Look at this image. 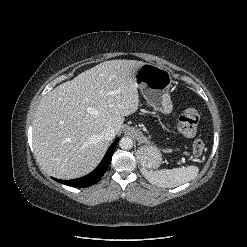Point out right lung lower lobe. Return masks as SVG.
<instances>
[{"label":"right lung lower lobe","instance_id":"right-lung-lower-lobe-1","mask_svg":"<svg viewBox=\"0 0 247 247\" xmlns=\"http://www.w3.org/2000/svg\"><path fill=\"white\" fill-rule=\"evenodd\" d=\"M118 140L119 139L117 138L112 143V145L109 147L108 151L106 152L100 164L96 167L95 170H93L88 175L72 180H60V179H54V180L73 187H88L98 183L111 163V158L115 151Z\"/></svg>","mask_w":247,"mask_h":247}]
</instances>
